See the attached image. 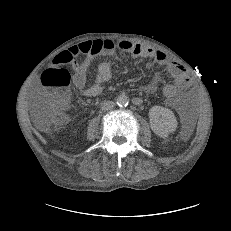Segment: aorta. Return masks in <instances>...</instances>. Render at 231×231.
I'll use <instances>...</instances> for the list:
<instances>
[{
    "instance_id": "aorta-1",
    "label": "aorta",
    "mask_w": 231,
    "mask_h": 231,
    "mask_svg": "<svg viewBox=\"0 0 231 231\" xmlns=\"http://www.w3.org/2000/svg\"><path fill=\"white\" fill-rule=\"evenodd\" d=\"M116 103L119 106H127L129 103V97L122 93L117 97Z\"/></svg>"
}]
</instances>
